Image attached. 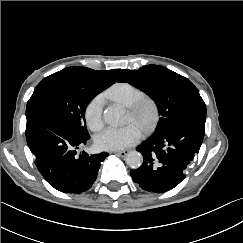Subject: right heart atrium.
I'll list each match as a JSON object with an SVG mask.
<instances>
[{
    "label": "right heart atrium",
    "mask_w": 243,
    "mask_h": 243,
    "mask_svg": "<svg viewBox=\"0 0 243 243\" xmlns=\"http://www.w3.org/2000/svg\"><path fill=\"white\" fill-rule=\"evenodd\" d=\"M103 96L94 97L86 106L85 120L92 131H99L104 125L103 119Z\"/></svg>",
    "instance_id": "obj_1"
}]
</instances>
